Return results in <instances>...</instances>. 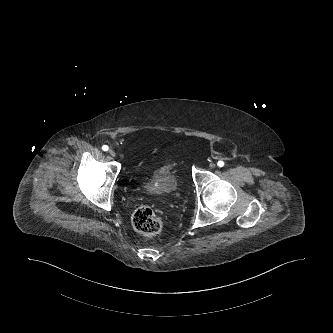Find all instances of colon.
<instances>
[{"instance_id":"obj_1","label":"colon","mask_w":333,"mask_h":333,"mask_svg":"<svg viewBox=\"0 0 333 333\" xmlns=\"http://www.w3.org/2000/svg\"><path fill=\"white\" fill-rule=\"evenodd\" d=\"M133 227L145 236H155L163 229L162 219L149 207L137 208L132 215Z\"/></svg>"}]
</instances>
